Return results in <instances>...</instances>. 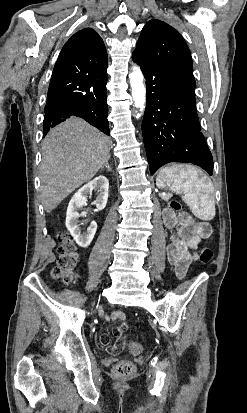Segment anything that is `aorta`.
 <instances>
[{
  "mask_svg": "<svg viewBox=\"0 0 247 413\" xmlns=\"http://www.w3.org/2000/svg\"><path fill=\"white\" fill-rule=\"evenodd\" d=\"M129 78L135 107L141 112L136 115V118H140L144 111L146 101V90L143 84V74L141 69L137 66L132 67V72L129 74Z\"/></svg>",
  "mask_w": 247,
  "mask_h": 413,
  "instance_id": "aorta-1",
  "label": "aorta"
}]
</instances>
